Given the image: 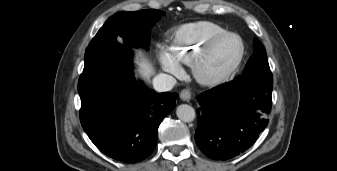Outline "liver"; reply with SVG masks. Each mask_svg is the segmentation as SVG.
<instances>
[{"instance_id": "obj_1", "label": "liver", "mask_w": 337, "mask_h": 171, "mask_svg": "<svg viewBox=\"0 0 337 171\" xmlns=\"http://www.w3.org/2000/svg\"><path fill=\"white\" fill-rule=\"evenodd\" d=\"M138 56L140 58L139 61L137 62L139 67L138 68L139 75L144 79H149L151 75L154 74V69L152 65L147 61V59L144 58L141 51L138 52Z\"/></svg>"}]
</instances>
